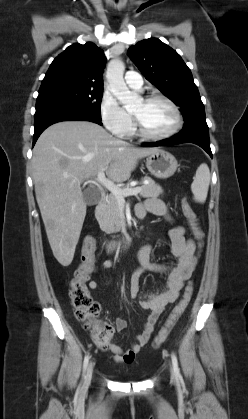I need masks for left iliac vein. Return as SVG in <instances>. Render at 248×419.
Listing matches in <instances>:
<instances>
[{
  "label": "left iliac vein",
  "mask_w": 248,
  "mask_h": 419,
  "mask_svg": "<svg viewBox=\"0 0 248 419\" xmlns=\"http://www.w3.org/2000/svg\"><path fill=\"white\" fill-rule=\"evenodd\" d=\"M171 375H172L173 378L175 377V372L172 368H171Z\"/></svg>",
  "instance_id": "obj_1"
}]
</instances>
